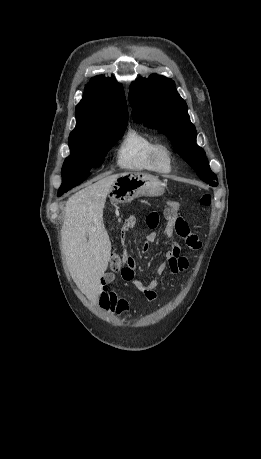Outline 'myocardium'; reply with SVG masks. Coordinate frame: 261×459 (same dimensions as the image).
Returning <instances> with one entry per match:
<instances>
[{
	"mask_svg": "<svg viewBox=\"0 0 261 459\" xmlns=\"http://www.w3.org/2000/svg\"><path fill=\"white\" fill-rule=\"evenodd\" d=\"M165 156L168 159V168L164 169L160 165L161 157ZM152 162L156 172L160 174H169L173 171L175 165V155L171 147L163 142H158L152 152Z\"/></svg>",
	"mask_w": 261,
	"mask_h": 459,
	"instance_id": "f54148a6",
	"label": "myocardium"
}]
</instances>
